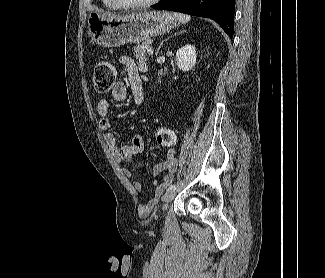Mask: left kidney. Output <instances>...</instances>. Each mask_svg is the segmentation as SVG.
<instances>
[{"label":"left kidney","instance_id":"left-kidney-1","mask_svg":"<svg viewBox=\"0 0 325 278\" xmlns=\"http://www.w3.org/2000/svg\"><path fill=\"white\" fill-rule=\"evenodd\" d=\"M176 63L183 72L191 70L196 64V50L193 45H185L176 53ZM177 79V77H174Z\"/></svg>","mask_w":325,"mask_h":278}]
</instances>
